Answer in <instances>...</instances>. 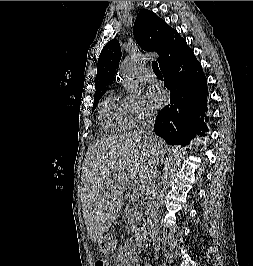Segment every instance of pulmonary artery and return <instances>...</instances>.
<instances>
[{
	"instance_id": "e3ab8cb5",
	"label": "pulmonary artery",
	"mask_w": 253,
	"mask_h": 266,
	"mask_svg": "<svg viewBox=\"0 0 253 266\" xmlns=\"http://www.w3.org/2000/svg\"><path fill=\"white\" fill-rule=\"evenodd\" d=\"M144 77L146 78V80L151 81V82H156L157 81V76L153 72L151 67L145 68Z\"/></svg>"
}]
</instances>
